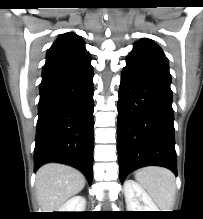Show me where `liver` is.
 Masks as SVG:
<instances>
[{"mask_svg": "<svg viewBox=\"0 0 203 219\" xmlns=\"http://www.w3.org/2000/svg\"><path fill=\"white\" fill-rule=\"evenodd\" d=\"M84 175L71 166L48 163L36 173V194L43 212H59L72 196L85 186Z\"/></svg>", "mask_w": 203, "mask_h": 219, "instance_id": "liver-1", "label": "liver"}]
</instances>
